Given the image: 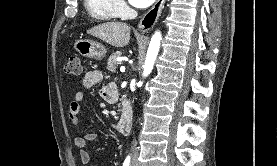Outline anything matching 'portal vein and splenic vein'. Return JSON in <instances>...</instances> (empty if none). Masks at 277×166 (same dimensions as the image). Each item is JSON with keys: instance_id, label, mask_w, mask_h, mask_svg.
I'll return each instance as SVG.
<instances>
[{"instance_id": "18ae733b", "label": "portal vein and splenic vein", "mask_w": 277, "mask_h": 166, "mask_svg": "<svg viewBox=\"0 0 277 166\" xmlns=\"http://www.w3.org/2000/svg\"><path fill=\"white\" fill-rule=\"evenodd\" d=\"M120 70H121V71H125V68L122 66V67L120 68Z\"/></svg>"}]
</instances>
